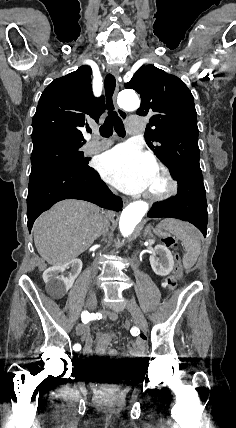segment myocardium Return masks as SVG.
<instances>
[{
  "mask_svg": "<svg viewBox=\"0 0 236 428\" xmlns=\"http://www.w3.org/2000/svg\"><path fill=\"white\" fill-rule=\"evenodd\" d=\"M155 172L162 177L165 188L159 192L146 191L144 197L154 203H164L173 199L180 191V184L172 171L167 165L159 163L155 165Z\"/></svg>",
  "mask_w": 236,
  "mask_h": 428,
  "instance_id": "obj_1",
  "label": "myocardium"
}]
</instances>
